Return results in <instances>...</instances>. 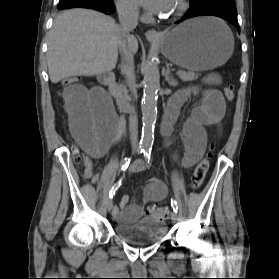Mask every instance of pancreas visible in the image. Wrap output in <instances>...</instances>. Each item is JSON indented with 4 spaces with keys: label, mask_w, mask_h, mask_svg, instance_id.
<instances>
[{
    "label": "pancreas",
    "mask_w": 279,
    "mask_h": 279,
    "mask_svg": "<svg viewBox=\"0 0 279 279\" xmlns=\"http://www.w3.org/2000/svg\"><path fill=\"white\" fill-rule=\"evenodd\" d=\"M177 75L182 81H193L198 77V75L193 72H185V71H178ZM118 95L123 98L128 97V91L124 84L118 85Z\"/></svg>",
    "instance_id": "pancreas-1"
}]
</instances>
